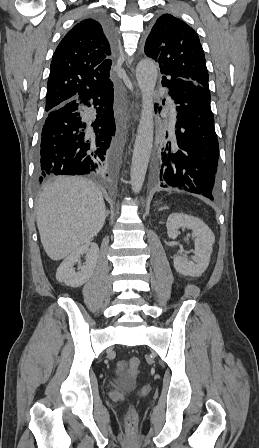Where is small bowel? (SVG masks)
Instances as JSON below:
<instances>
[{
    "instance_id": "obj_1",
    "label": "small bowel",
    "mask_w": 259,
    "mask_h": 448,
    "mask_svg": "<svg viewBox=\"0 0 259 448\" xmlns=\"http://www.w3.org/2000/svg\"><path fill=\"white\" fill-rule=\"evenodd\" d=\"M124 366H125V362L124 361L119 362L118 365H117V372L123 371Z\"/></svg>"
}]
</instances>
